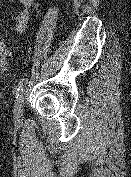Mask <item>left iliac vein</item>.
<instances>
[{
  "label": "left iliac vein",
  "instance_id": "4c4485c4",
  "mask_svg": "<svg viewBox=\"0 0 131 177\" xmlns=\"http://www.w3.org/2000/svg\"><path fill=\"white\" fill-rule=\"evenodd\" d=\"M23 103H24V93L21 92L16 100L15 106H14V118L19 119L22 117L23 114Z\"/></svg>",
  "mask_w": 131,
  "mask_h": 177
}]
</instances>
